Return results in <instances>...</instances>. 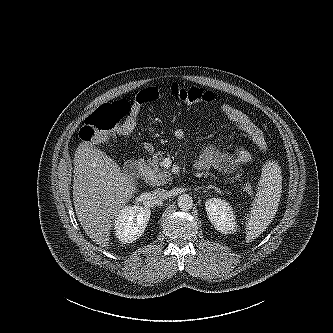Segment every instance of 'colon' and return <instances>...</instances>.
<instances>
[{"mask_svg":"<svg viewBox=\"0 0 333 333\" xmlns=\"http://www.w3.org/2000/svg\"><path fill=\"white\" fill-rule=\"evenodd\" d=\"M171 94L178 101L188 104H209L215 101V95L202 88L184 87L174 83ZM160 94L158 89L149 87L139 91L134 102L119 100L105 103L96 109L85 121L79 136L86 142H99L109 134H129L136 126L137 115L143 105L156 101ZM247 193H253L251 183L244 184Z\"/></svg>","mask_w":333,"mask_h":333,"instance_id":"colon-1","label":"colon"}]
</instances>
